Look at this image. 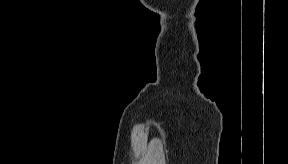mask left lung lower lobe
<instances>
[{
  "instance_id": "left-lung-lower-lobe-1",
  "label": "left lung lower lobe",
  "mask_w": 288,
  "mask_h": 164,
  "mask_svg": "<svg viewBox=\"0 0 288 164\" xmlns=\"http://www.w3.org/2000/svg\"><path fill=\"white\" fill-rule=\"evenodd\" d=\"M234 77V73L231 69H224L223 72L220 73H212L207 72V78H208V88L206 91H204V94L207 98H210L212 100L216 99V90L213 87V83L218 79L221 78L223 80L222 86L228 85Z\"/></svg>"
}]
</instances>
